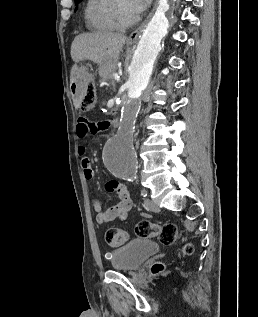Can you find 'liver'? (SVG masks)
I'll use <instances>...</instances> for the list:
<instances>
[{"label": "liver", "mask_w": 258, "mask_h": 317, "mask_svg": "<svg viewBox=\"0 0 258 317\" xmlns=\"http://www.w3.org/2000/svg\"><path fill=\"white\" fill-rule=\"evenodd\" d=\"M126 38L123 32L110 30L82 32L75 36L71 44V56L75 62L89 58L99 64L100 70H114Z\"/></svg>", "instance_id": "6515ba94"}]
</instances>
